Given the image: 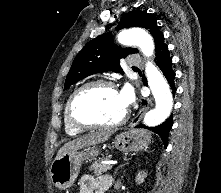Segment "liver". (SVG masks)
<instances>
[{"label": "liver", "instance_id": "obj_1", "mask_svg": "<svg viewBox=\"0 0 221 193\" xmlns=\"http://www.w3.org/2000/svg\"><path fill=\"white\" fill-rule=\"evenodd\" d=\"M111 134H112L111 131L102 130V131L92 132L83 137L70 140L59 149L56 157H59L62 154H65L71 151L82 149L84 147H88L91 145H96V144L105 142L111 136Z\"/></svg>", "mask_w": 221, "mask_h": 193}]
</instances>
